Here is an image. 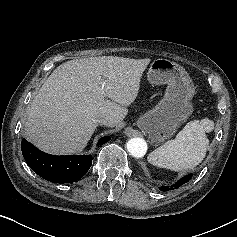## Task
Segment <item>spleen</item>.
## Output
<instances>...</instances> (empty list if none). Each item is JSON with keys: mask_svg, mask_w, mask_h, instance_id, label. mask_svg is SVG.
<instances>
[{"mask_svg": "<svg viewBox=\"0 0 237 237\" xmlns=\"http://www.w3.org/2000/svg\"><path fill=\"white\" fill-rule=\"evenodd\" d=\"M214 129V122L207 118L188 122L176 138L155 149L148 161L157 167L173 171L193 169L205 158L209 140L205 132Z\"/></svg>", "mask_w": 237, "mask_h": 237, "instance_id": "obj_1", "label": "spleen"}]
</instances>
